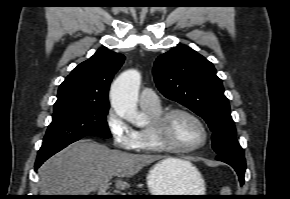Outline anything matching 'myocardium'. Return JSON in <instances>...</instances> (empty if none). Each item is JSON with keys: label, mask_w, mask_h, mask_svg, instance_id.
<instances>
[{"label": "myocardium", "mask_w": 290, "mask_h": 199, "mask_svg": "<svg viewBox=\"0 0 290 199\" xmlns=\"http://www.w3.org/2000/svg\"><path fill=\"white\" fill-rule=\"evenodd\" d=\"M177 114L186 115L199 124L203 132V139L199 144L192 147L183 148L176 146L168 140V138L166 137L168 123L170 119ZM150 132L152 139L157 147L165 152L175 154H190L196 152L203 148L207 144L209 139V132L204 121L196 113L185 108H173L164 111L160 116L152 120L150 124Z\"/></svg>", "instance_id": "obj_1"}]
</instances>
